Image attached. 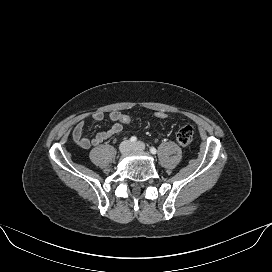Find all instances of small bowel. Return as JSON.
Listing matches in <instances>:
<instances>
[{
  "instance_id": "c3829d8e",
  "label": "small bowel",
  "mask_w": 272,
  "mask_h": 272,
  "mask_svg": "<svg viewBox=\"0 0 272 272\" xmlns=\"http://www.w3.org/2000/svg\"><path fill=\"white\" fill-rule=\"evenodd\" d=\"M119 115L120 112L118 111L111 112L109 118L114 124L107 131L98 132L93 138H88L84 135L85 120L79 121L72 131L73 141L82 149H89L101 145L122 131L123 125L118 120ZM104 117L105 115L102 111H96L90 116L93 121H102Z\"/></svg>"
}]
</instances>
